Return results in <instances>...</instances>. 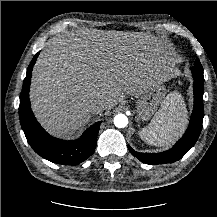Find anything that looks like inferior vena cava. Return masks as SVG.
I'll use <instances>...</instances> for the list:
<instances>
[{"label": "inferior vena cava", "mask_w": 217, "mask_h": 217, "mask_svg": "<svg viewBox=\"0 0 217 217\" xmlns=\"http://www.w3.org/2000/svg\"><path fill=\"white\" fill-rule=\"evenodd\" d=\"M104 107H105V103L103 101H94L90 103L89 110L91 113L97 114L103 111Z\"/></svg>", "instance_id": "inferior-vena-cava-1"}]
</instances>
